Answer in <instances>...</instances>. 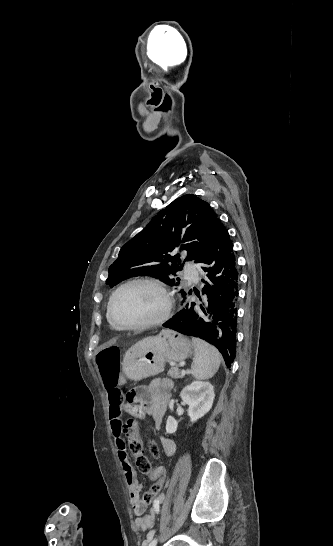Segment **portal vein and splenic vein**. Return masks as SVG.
Wrapping results in <instances>:
<instances>
[{
  "mask_svg": "<svg viewBox=\"0 0 333 546\" xmlns=\"http://www.w3.org/2000/svg\"><path fill=\"white\" fill-rule=\"evenodd\" d=\"M185 374H186L185 370H182V371H181V375H182V376H185Z\"/></svg>",
  "mask_w": 333,
  "mask_h": 546,
  "instance_id": "obj_1",
  "label": "portal vein and splenic vein"
}]
</instances>
